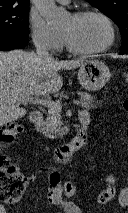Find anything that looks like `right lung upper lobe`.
I'll use <instances>...</instances> for the list:
<instances>
[{
  "label": "right lung upper lobe",
  "instance_id": "obj_1",
  "mask_svg": "<svg viewBox=\"0 0 128 213\" xmlns=\"http://www.w3.org/2000/svg\"><path fill=\"white\" fill-rule=\"evenodd\" d=\"M30 0H0V6L29 5Z\"/></svg>",
  "mask_w": 128,
  "mask_h": 213
}]
</instances>
